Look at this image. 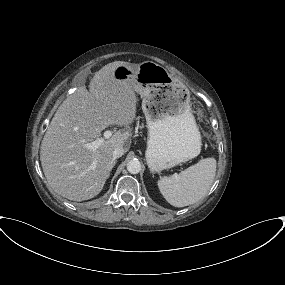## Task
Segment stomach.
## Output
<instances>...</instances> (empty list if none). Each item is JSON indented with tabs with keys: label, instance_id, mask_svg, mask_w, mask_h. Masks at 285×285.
<instances>
[{
	"label": "stomach",
	"instance_id": "stomach-1",
	"mask_svg": "<svg viewBox=\"0 0 285 285\" xmlns=\"http://www.w3.org/2000/svg\"><path fill=\"white\" fill-rule=\"evenodd\" d=\"M113 76L133 81L143 99L148 128L146 161L151 172L172 168L199 155L201 136L192 114L190 93L183 83L152 61L119 65Z\"/></svg>",
	"mask_w": 285,
	"mask_h": 285
}]
</instances>
